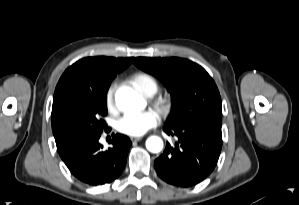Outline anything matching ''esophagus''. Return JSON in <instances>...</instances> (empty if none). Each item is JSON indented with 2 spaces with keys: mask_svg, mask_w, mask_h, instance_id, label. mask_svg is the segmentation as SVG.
Instances as JSON below:
<instances>
[{
  "mask_svg": "<svg viewBox=\"0 0 299 205\" xmlns=\"http://www.w3.org/2000/svg\"><path fill=\"white\" fill-rule=\"evenodd\" d=\"M131 141L136 142V141H140L142 139V137H130Z\"/></svg>",
  "mask_w": 299,
  "mask_h": 205,
  "instance_id": "34e87169",
  "label": "esophagus"
}]
</instances>
